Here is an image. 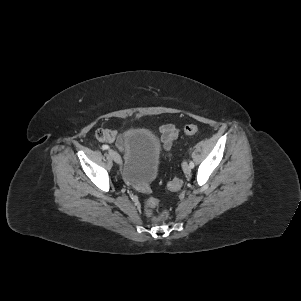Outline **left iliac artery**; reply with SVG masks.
Here are the masks:
<instances>
[{
    "label": "left iliac artery",
    "mask_w": 301,
    "mask_h": 301,
    "mask_svg": "<svg viewBox=\"0 0 301 301\" xmlns=\"http://www.w3.org/2000/svg\"><path fill=\"white\" fill-rule=\"evenodd\" d=\"M189 165H190L191 168H194V163H193V161H190V162H189Z\"/></svg>",
    "instance_id": "obj_1"
}]
</instances>
